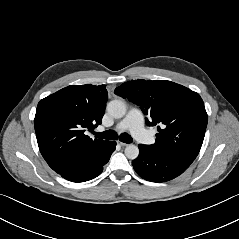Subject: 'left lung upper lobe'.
Segmentation results:
<instances>
[{
    "instance_id": "left-lung-upper-lobe-1",
    "label": "left lung upper lobe",
    "mask_w": 239,
    "mask_h": 239,
    "mask_svg": "<svg viewBox=\"0 0 239 239\" xmlns=\"http://www.w3.org/2000/svg\"><path fill=\"white\" fill-rule=\"evenodd\" d=\"M115 94L140 106L148 125L157 127L156 142L148 147L191 164L207 127V113L198 93L166 80H133Z\"/></svg>"
}]
</instances>
